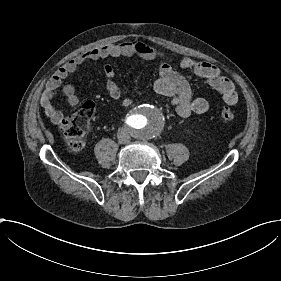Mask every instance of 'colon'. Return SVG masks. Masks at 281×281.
<instances>
[{"instance_id":"1","label":"colon","mask_w":281,"mask_h":281,"mask_svg":"<svg viewBox=\"0 0 281 281\" xmlns=\"http://www.w3.org/2000/svg\"><path fill=\"white\" fill-rule=\"evenodd\" d=\"M219 119L223 123H233L236 114L229 108H222L219 113ZM62 133L68 141V145L72 151L79 152L84 148V139L86 134V126L76 118H68L63 123Z\"/></svg>"}]
</instances>
